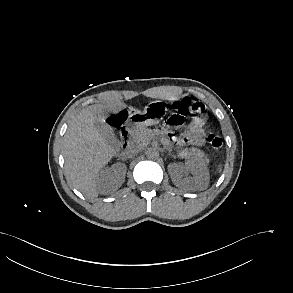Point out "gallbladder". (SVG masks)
I'll return each instance as SVG.
<instances>
[{"mask_svg":"<svg viewBox=\"0 0 293 293\" xmlns=\"http://www.w3.org/2000/svg\"><path fill=\"white\" fill-rule=\"evenodd\" d=\"M95 127L98 130L99 133H101L103 135V137L111 142V143H115L117 142V138L112 130V128L106 124L105 122L96 119L95 120Z\"/></svg>","mask_w":293,"mask_h":293,"instance_id":"1","label":"gallbladder"}]
</instances>
